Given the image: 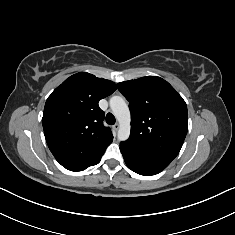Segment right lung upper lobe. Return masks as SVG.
<instances>
[{
    "label": "right lung upper lobe",
    "mask_w": 235,
    "mask_h": 235,
    "mask_svg": "<svg viewBox=\"0 0 235 235\" xmlns=\"http://www.w3.org/2000/svg\"><path fill=\"white\" fill-rule=\"evenodd\" d=\"M116 90L110 80L80 72L67 78L48 97L42 118L50 151L62 166L87 164L113 141L103 125L98 102Z\"/></svg>",
    "instance_id": "right-lung-upper-lobe-1"
}]
</instances>
